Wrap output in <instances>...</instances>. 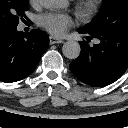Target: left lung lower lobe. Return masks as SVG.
Returning a JSON list of instances; mask_svg holds the SVG:
<instances>
[{
  "instance_id": "obj_1",
  "label": "left lung lower lobe",
  "mask_w": 128,
  "mask_h": 128,
  "mask_svg": "<svg viewBox=\"0 0 128 128\" xmlns=\"http://www.w3.org/2000/svg\"><path fill=\"white\" fill-rule=\"evenodd\" d=\"M88 34L86 40L97 38L100 43L89 46L81 41V54L70 64L72 74L91 86H106L115 82L128 68V29L97 34L81 29Z\"/></svg>"
}]
</instances>
